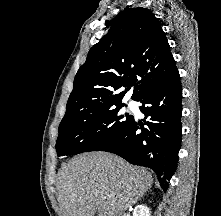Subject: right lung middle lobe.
Returning <instances> with one entry per match:
<instances>
[{"mask_svg":"<svg viewBox=\"0 0 221 216\" xmlns=\"http://www.w3.org/2000/svg\"><path fill=\"white\" fill-rule=\"evenodd\" d=\"M124 104L85 112L74 120H62L56 142L58 156L100 151L112 143L132 122L133 116L122 114Z\"/></svg>","mask_w":221,"mask_h":216,"instance_id":"dd1d6c3e","label":"right lung middle lobe"}]
</instances>
